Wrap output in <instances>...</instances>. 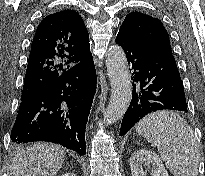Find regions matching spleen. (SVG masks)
<instances>
[{"instance_id": "1", "label": "spleen", "mask_w": 205, "mask_h": 176, "mask_svg": "<svg viewBox=\"0 0 205 176\" xmlns=\"http://www.w3.org/2000/svg\"><path fill=\"white\" fill-rule=\"evenodd\" d=\"M136 132L157 146L174 176H197L198 144L185 119L172 111H157L136 125Z\"/></svg>"}]
</instances>
